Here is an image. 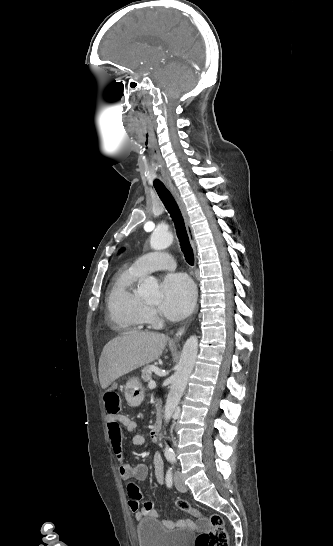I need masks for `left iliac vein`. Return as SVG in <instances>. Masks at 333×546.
<instances>
[{
    "mask_svg": "<svg viewBox=\"0 0 333 546\" xmlns=\"http://www.w3.org/2000/svg\"><path fill=\"white\" fill-rule=\"evenodd\" d=\"M174 483H175V487L177 488V490H179L181 492H186L187 491L188 488L184 483V480L182 478V475H181L180 471L175 472Z\"/></svg>",
    "mask_w": 333,
    "mask_h": 546,
    "instance_id": "obj_1",
    "label": "left iliac vein"
}]
</instances>
